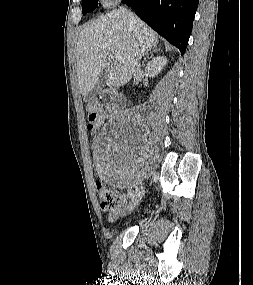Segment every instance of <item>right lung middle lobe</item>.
Wrapping results in <instances>:
<instances>
[{"mask_svg": "<svg viewBox=\"0 0 253 285\" xmlns=\"http://www.w3.org/2000/svg\"><path fill=\"white\" fill-rule=\"evenodd\" d=\"M98 6V0H82V13L85 15L87 12L92 11Z\"/></svg>", "mask_w": 253, "mask_h": 285, "instance_id": "1", "label": "right lung middle lobe"}]
</instances>
